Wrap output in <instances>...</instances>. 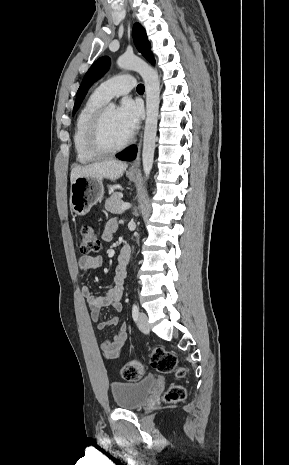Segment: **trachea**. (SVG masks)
Masks as SVG:
<instances>
[{
  "label": "trachea",
  "mask_w": 289,
  "mask_h": 465,
  "mask_svg": "<svg viewBox=\"0 0 289 465\" xmlns=\"http://www.w3.org/2000/svg\"><path fill=\"white\" fill-rule=\"evenodd\" d=\"M137 92L138 93H143L144 92V85L143 84H139L137 86Z\"/></svg>",
  "instance_id": "1"
}]
</instances>
